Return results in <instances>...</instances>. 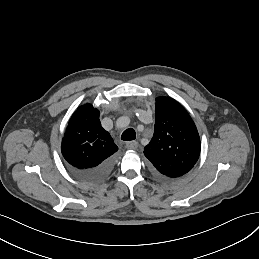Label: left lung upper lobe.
Instances as JSON below:
<instances>
[{
	"label": "left lung upper lobe",
	"mask_w": 259,
	"mask_h": 259,
	"mask_svg": "<svg viewBox=\"0 0 259 259\" xmlns=\"http://www.w3.org/2000/svg\"><path fill=\"white\" fill-rule=\"evenodd\" d=\"M144 154L163 177L177 179L197 162L201 143L188 112L169 97L156 99L154 134Z\"/></svg>",
	"instance_id": "1"
}]
</instances>
